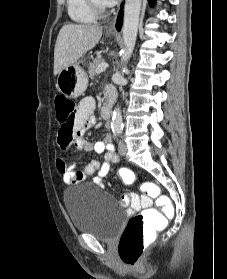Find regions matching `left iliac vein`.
I'll return each instance as SVG.
<instances>
[{"mask_svg": "<svg viewBox=\"0 0 227 279\" xmlns=\"http://www.w3.org/2000/svg\"><path fill=\"white\" fill-rule=\"evenodd\" d=\"M118 152L121 156H125L127 153V145L122 140L119 141Z\"/></svg>", "mask_w": 227, "mask_h": 279, "instance_id": "obj_1", "label": "left iliac vein"}]
</instances>
